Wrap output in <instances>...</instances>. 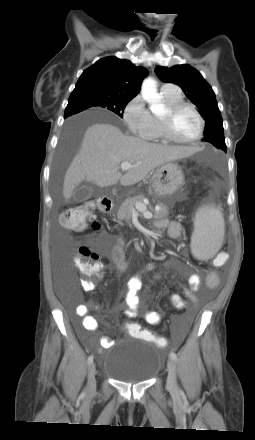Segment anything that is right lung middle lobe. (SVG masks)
I'll use <instances>...</instances> for the list:
<instances>
[{"mask_svg": "<svg viewBox=\"0 0 255 440\" xmlns=\"http://www.w3.org/2000/svg\"><path fill=\"white\" fill-rule=\"evenodd\" d=\"M130 100L103 92H72L64 116L67 117L91 107H101L113 111L122 118L123 111Z\"/></svg>", "mask_w": 255, "mask_h": 440, "instance_id": "1", "label": "right lung middle lobe"}]
</instances>
